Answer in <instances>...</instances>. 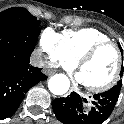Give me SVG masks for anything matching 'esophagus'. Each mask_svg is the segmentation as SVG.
<instances>
[{
  "label": "esophagus",
  "instance_id": "34e87169",
  "mask_svg": "<svg viewBox=\"0 0 124 124\" xmlns=\"http://www.w3.org/2000/svg\"><path fill=\"white\" fill-rule=\"evenodd\" d=\"M51 73H52V72H51ZM72 91H76V90H75L74 88H71V89H70V92H72Z\"/></svg>",
  "mask_w": 124,
  "mask_h": 124
}]
</instances>
